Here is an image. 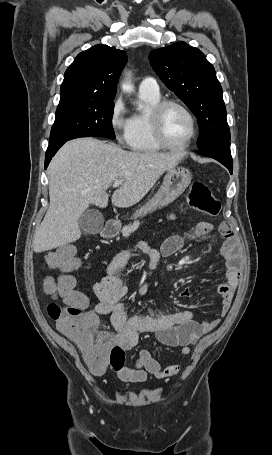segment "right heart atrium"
I'll list each match as a JSON object with an SVG mask.
<instances>
[{"label":"right heart atrium","instance_id":"right-heart-atrium-1","mask_svg":"<svg viewBox=\"0 0 272 455\" xmlns=\"http://www.w3.org/2000/svg\"><path fill=\"white\" fill-rule=\"evenodd\" d=\"M125 114V104L121 98H117L112 104L109 122L119 143H127L128 141L130 121Z\"/></svg>","mask_w":272,"mask_h":455}]
</instances>
